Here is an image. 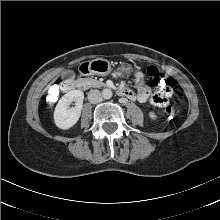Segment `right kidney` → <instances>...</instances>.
Segmentation results:
<instances>
[{
  "instance_id": "1",
  "label": "right kidney",
  "mask_w": 220,
  "mask_h": 220,
  "mask_svg": "<svg viewBox=\"0 0 220 220\" xmlns=\"http://www.w3.org/2000/svg\"><path fill=\"white\" fill-rule=\"evenodd\" d=\"M84 93L81 90H72L65 94L58 102L54 111V121L58 128L66 130L74 126L80 118ZM75 102L74 107L69 105Z\"/></svg>"
}]
</instances>
